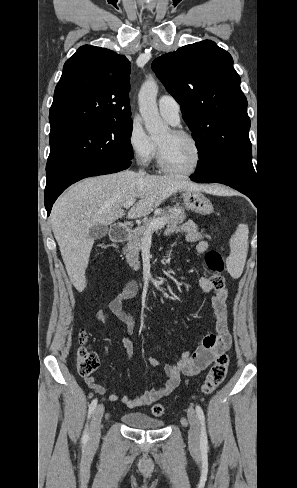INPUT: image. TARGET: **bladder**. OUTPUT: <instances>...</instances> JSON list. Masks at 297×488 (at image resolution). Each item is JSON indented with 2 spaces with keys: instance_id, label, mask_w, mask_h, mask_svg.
Segmentation results:
<instances>
[{
  "instance_id": "obj_1",
  "label": "bladder",
  "mask_w": 297,
  "mask_h": 488,
  "mask_svg": "<svg viewBox=\"0 0 297 488\" xmlns=\"http://www.w3.org/2000/svg\"><path fill=\"white\" fill-rule=\"evenodd\" d=\"M122 422L131 428L141 430L160 429L164 423L141 412H129L121 415Z\"/></svg>"
}]
</instances>
